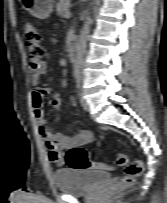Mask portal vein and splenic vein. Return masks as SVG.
I'll return each instance as SVG.
<instances>
[{
    "mask_svg": "<svg viewBox=\"0 0 167 203\" xmlns=\"http://www.w3.org/2000/svg\"><path fill=\"white\" fill-rule=\"evenodd\" d=\"M65 17H66V18H69V17H70V13H69V12H66Z\"/></svg>",
    "mask_w": 167,
    "mask_h": 203,
    "instance_id": "obj_1",
    "label": "portal vein and splenic vein"
}]
</instances>
